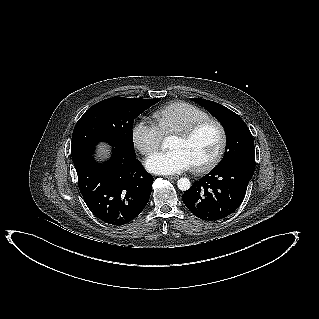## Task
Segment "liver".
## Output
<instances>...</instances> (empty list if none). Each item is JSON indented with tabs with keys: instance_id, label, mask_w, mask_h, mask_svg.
Segmentation results:
<instances>
[{
	"instance_id": "obj_1",
	"label": "liver",
	"mask_w": 319,
	"mask_h": 319,
	"mask_svg": "<svg viewBox=\"0 0 319 319\" xmlns=\"http://www.w3.org/2000/svg\"><path fill=\"white\" fill-rule=\"evenodd\" d=\"M108 146L106 144H99L97 146V156L98 157H102L101 159H103V157H107L109 150L107 149Z\"/></svg>"
}]
</instances>
